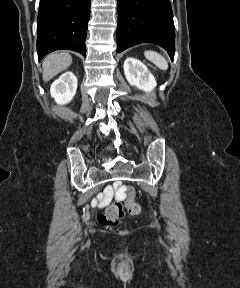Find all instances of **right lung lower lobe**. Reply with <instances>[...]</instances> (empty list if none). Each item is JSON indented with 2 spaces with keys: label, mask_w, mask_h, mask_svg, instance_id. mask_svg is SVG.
<instances>
[{
  "label": "right lung lower lobe",
  "mask_w": 240,
  "mask_h": 288,
  "mask_svg": "<svg viewBox=\"0 0 240 288\" xmlns=\"http://www.w3.org/2000/svg\"><path fill=\"white\" fill-rule=\"evenodd\" d=\"M90 3L91 0H40L37 19L39 59L59 49L86 55Z\"/></svg>",
  "instance_id": "right-lung-lower-lobe-1"
}]
</instances>
